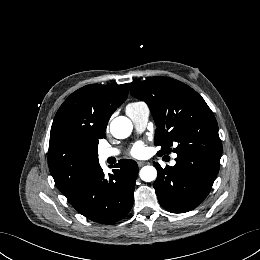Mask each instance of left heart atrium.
I'll use <instances>...</instances> for the list:
<instances>
[{"label": "left heart atrium", "mask_w": 260, "mask_h": 260, "mask_svg": "<svg viewBox=\"0 0 260 260\" xmlns=\"http://www.w3.org/2000/svg\"><path fill=\"white\" fill-rule=\"evenodd\" d=\"M145 148L142 143H137L133 146L131 154L135 157L141 156L144 154Z\"/></svg>", "instance_id": "1"}]
</instances>
